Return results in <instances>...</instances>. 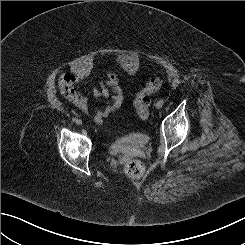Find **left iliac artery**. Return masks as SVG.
Listing matches in <instances>:
<instances>
[{
	"label": "left iliac artery",
	"mask_w": 245,
	"mask_h": 245,
	"mask_svg": "<svg viewBox=\"0 0 245 245\" xmlns=\"http://www.w3.org/2000/svg\"><path fill=\"white\" fill-rule=\"evenodd\" d=\"M158 103H160V104H162V105H163V104H164V100H163V99H161V100H159V101H158Z\"/></svg>",
	"instance_id": "1"
}]
</instances>
